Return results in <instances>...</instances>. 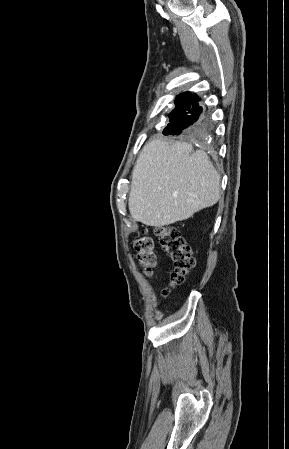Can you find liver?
<instances>
[{
    "mask_svg": "<svg viewBox=\"0 0 289 449\" xmlns=\"http://www.w3.org/2000/svg\"><path fill=\"white\" fill-rule=\"evenodd\" d=\"M189 143L152 140L132 171L129 211L133 220L161 228L186 220L220 198V176L207 154Z\"/></svg>",
    "mask_w": 289,
    "mask_h": 449,
    "instance_id": "1",
    "label": "liver"
}]
</instances>
